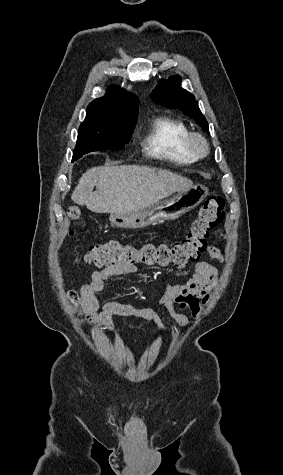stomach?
Instances as JSON below:
<instances>
[{"mask_svg": "<svg viewBox=\"0 0 283 475\" xmlns=\"http://www.w3.org/2000/svg\"><path fill=\"white\" fill-rule=\"evenodd\" d=\"M208 196V188L206 186H192L189 190L178 192L177 196L156 202L152 206L142 208L138 212H125V214H110L111 224H115L118 228H145L155 222L162 220H177L186 212H190L196 206H199Z\"/></svg>", "mask_w": 283, "mask_h": 475, "instance_id": "0dacf381", "label": "stomach"}]
</instances>
